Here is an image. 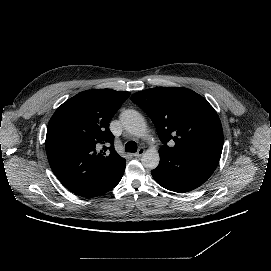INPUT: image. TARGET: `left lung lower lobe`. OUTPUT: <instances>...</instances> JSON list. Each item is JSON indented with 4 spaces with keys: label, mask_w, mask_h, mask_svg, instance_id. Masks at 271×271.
<instances>
[{
    "label": "left lung lower lobe",
    "mask_w": 271,
    "mask_h": 271,
    "mask_svg": "<svg viewBox=\"0 0 271 271\" xmlns=\"http://www.w3.org/2000/svg\"><path fill=\"white\" fill-rule=\"evenodd\" d=\"M160 163L151 171L155 181L167 190L185 193L201 186L216 169L219 159L187 152L159 149Z\"/></svg>",
    "instance_id": "1"
}]
</instances>
